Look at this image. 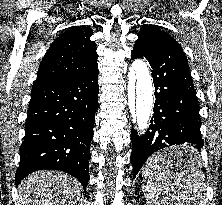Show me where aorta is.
Segmentation results:
<instances>
[{"label": "aorta", "mask_w": 222, "mask_h": 205, "mask_svg": "<svg viewBox=\"0 0 222 205\" xmlns=\"http://www.w3.org/2000/svg\"><path fill=\"white\" fill-rule=\"evenodd\" d=\"M127 99L131 122L142 134L148 128L153 107V87L148 65L136 59L128 72Z\"/></svg>", "instance_id": "obj_1"}]
</instances>
